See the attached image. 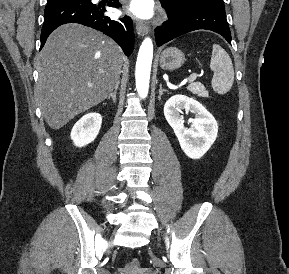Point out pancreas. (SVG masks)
Returning <instances> with one entry per match:
<instances>
[{"mask_svg": "<svg viewBox=\"0 0 289 274\" xmlns=\"http://www.w3.org/2000/svg\"><path fill=\"white\" fill-rule=\"evenodd\" d=\"M187 90L200 97H208V91L199 82L191 83L190 85H188Z\"/></svg>", "mask_w": 289, "mask_h": 274, "instance_id": "pancreas-1", "label": "pancreas"}]
</instances>
